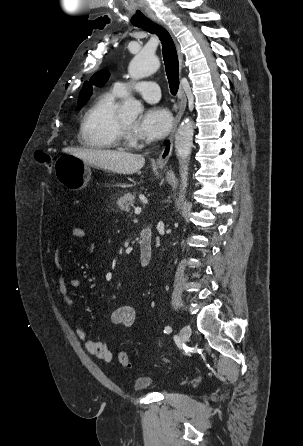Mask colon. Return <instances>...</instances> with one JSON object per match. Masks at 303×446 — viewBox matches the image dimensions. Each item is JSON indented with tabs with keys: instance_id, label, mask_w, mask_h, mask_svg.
I'll return each instance as SVG.
<instances>
[{
	"instance_id": "colon-1",
	"label": "colon",
	"mask_w": 303,
	"mask_h": 446,
	"mask_svg": "<svg viewBox=\"0 0 303 446\" xmlns=\"http://www.w3.org/2000/svg\"><path fill=\"white\" fill-rule=\"evenodd\" d=\"M35 160L37 163L42 164L46 167L47 173L51 174L53 170V161L50 155L45 152L37 151L35 153ZM118 362L122 367L128 368L130 367V359L127 353L120 352L118 354Z\"/></svg>"
}]
</instances>
